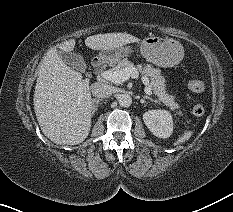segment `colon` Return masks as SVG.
<instances>
[{"label": "colon", "mask_w": 233, "mask_h": 212, "mask_svg": "<svg viewBox=\"0 0 233 212\" xmlns=\"http://www.w3.org/2000/svg\"><path fill=\"white\" fill-rule=\"evenodd\" d=\"M188 87L191 91L195 92V93H201L204 91L205 89V85L202 81L200 80H196V79H192L188 82ZM205 112L204 106L200 103H197L193 106L192 108V113L195 116H202Z\"/></svg>", "instance_id": "colon-1"}]
</instances>
